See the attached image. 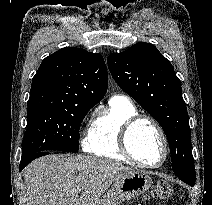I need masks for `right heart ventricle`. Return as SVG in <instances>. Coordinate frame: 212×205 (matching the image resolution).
I'll use <instances>...</instances> for the list:
<instances>
[{"label": "right heart ventricle", "mask_w": 212, "mask_h": 205, "mask_svg": "<svg viewBox=\"0 0 212 205\" xmlns=\"http://www.w3.org/2000/svg\"><path fill=\"white\" fill-rule=\"evenodd\" d=\"M135 105L125 97L114 96L92 123L84 142V150L98 157L131 163L119 147V134L123 124L137 115Z\"/></svg>", "instance_id": "right-heart-ventricle-1"}]
</instances>
